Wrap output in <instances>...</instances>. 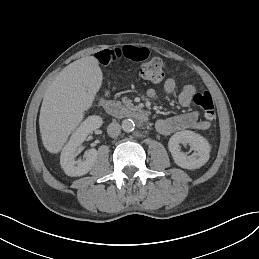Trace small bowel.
Instances as JSON below:
<instances>
[{
	"label": "small bowel",
	"instance_id": "c3829d8e",
	"mask_svg": "<svg viewBox=\"0 0 259 259\" xmlns=\"http://www.w3.org/2000/svg\"><path fill=\"white\" fill-rule=\"evenodd\" d=\"M149 55V50L146 47L135 45H124L111 49H104L95 54V59L102 65H108L121 58L132 61L145 60ZM177 88V83L173 78H169L164 82L163 92L165 95H172ZM196 93V88L193 85H186L179 94V103L184 108H189L192 104ZM149 97H154L156 91L153 88L148 89ZM211 126V121L201 119L199 113L195 110H189L185 113L159 119L156 123V129L163 135H171L178 131L186 129L206 130Z\"/></svg>",
	"mask_w": 259,
	"mask_h": 259
}]
</instances>
